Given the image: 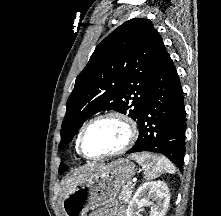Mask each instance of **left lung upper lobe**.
<instances>
[{"instance_id":"5c2ea615","label":"left lung upper lobe","mask_w":221,"mask_h":216,"mask_svg":"<svg viewBox=\"0 0 221 216\" xmlns=\"http://www.w3.org/2000/svg\"><path fill=\"white\" fill-rule=\"evenodd\" d=\"M165 52L161 36L148 19L128 20L108 35L76 78L66 104L59 148L99 111L115 110L138 123L152 76ZM66 170L61 163L59 173Z\"/></svg>"}]
</instances>
